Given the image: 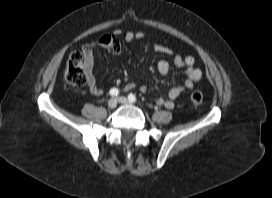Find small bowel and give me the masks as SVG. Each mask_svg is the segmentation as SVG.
<instances>
[{"mask_svg":"<svg viewBox=\"0 0 272 198\" xmlns=\"http://www.w3.org/2000/svg\"><path fill=\"white\" fill-rule=\"evenodd\" d=\"M123 36L126 42L133 41L135 39H142L145 37V33L142 31L137 32H126L124 33L121 29L117 28L112 33L104 34L93 40L87 42L82 46V51L85 60V72L87 77V85L89 91L95 95L100 96L103 94V89L98 85L97 80L94 76V50L96 47L106 49L108 52L118 55L121 53V43L119 37ZM155 49L173 56V63L178 68H183L186 73L185 80L180 84L170 89L168 97L158 98L157 104L164 106L168 109H172L175 105V100L187 89H191L194 83L202 78V71L195 67V60L191 56H182L174 54V52L167 47L155 46ZM157 69L160 74L165 75L170 71V63L167 60H160L157 64ZM138 88L140 92L145 93L147 87L145 85L137 86L136 83H128L125 85V90H133Z\"/></svg>","mask_w":272,"mask_h":198,"instance_id":"c3829d8e","label":"small bowel"}]
</instances>
